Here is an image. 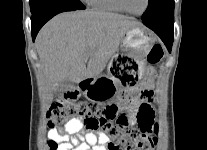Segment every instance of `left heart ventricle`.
I'll list each match as a JSON object with an SVG mask.
<instances>
[{
	"label": "left heart ventricle",
	"instance_id": "obj_1",
	"mask_svg": "<svg viewBox=\"0 0 207 150\" xmlns=\"http://www.w3.org/2000/svg\"><path fill=\"white\" fill-rule=\"evenodd\" d=\"M129 10L140 12L144 9L146 0H124Z\"/></svg>",
	"mask_w": 207,
	"mask_h": 150
}]
</instances>
